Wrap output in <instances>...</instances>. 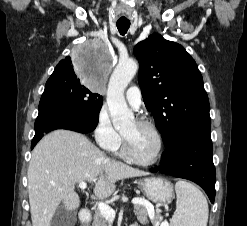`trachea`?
<instances>
[{
	"instance_id": "obj_1",
	"label": "trachea",
	"mask_w": 247,
	"mask_h": 226,
	"mask_svg": "<svg viewBox=\"0 0 247 226\" xmlns=\"http://www.w3.org/2000/svg\"><path fill=\"white\" fill-rule=\"evenodd\" d=\"M117 28L121 35H125L130 27V22H117Z\"/></svg>"
}]
</instances>
